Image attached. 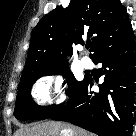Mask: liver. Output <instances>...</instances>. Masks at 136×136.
Returning a JSON list of instances; mask_svg holds the SVG:
<instances>
[{
    "mask_svg": "<svg viewBox=\"0 0 136 136\" xmlns=\"http://www.w3.org/2000/svg\"><path fill=\"white\" fill-rule=\"evenodd\" d=\"M14 136H93L65 123L48 121L19 129Z\"/></svg>",
    "mask_w": 136,
    "mask_h": 136,
    "instance_id": "liver-1",
    "label": "liver"
}]
</instances>
